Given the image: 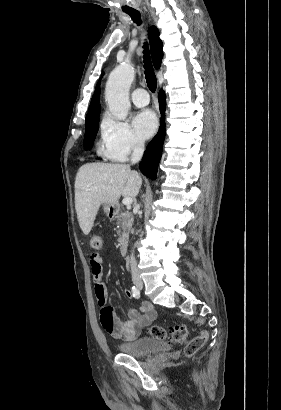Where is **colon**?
Listing matches in <instances>:
<instances>
[{
	"label": "colon",
	"mask_w": 281,
	"mask_h": 410,
	"mask_svg": "<svg viewBox=\"0 0 281 410\" xmlns=\"http://www.w3.org/2000/svg\"><path fill=\"white\" fill-rule=\"evenodd\" d=\"M92 249L99 250L102 247V238L99 235H93L90 241ZM102 325L105 329L111 328V311L105 310L102 312ZM150 335L162 341H171L179 344L185 343V355L190 357L195 355L206 343L208 335L205 331H200L195 337L190 340L188 338V330L184 325H174L169 329L154 325L149 329Z\"/></svg>",
	"instance_id": "1"
}]
</instances>
